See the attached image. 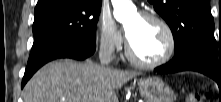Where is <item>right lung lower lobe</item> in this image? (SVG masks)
<instances>
[{
  "label": "right lung lower lobe",
  "instance_id": "98d812e1",
  "mask_svg": "<svg viewBox=\"0 0 221 102\" xmlns=\"http://www.w3.org/2000/svg\"><path fill=\"white\" fill-rule=\"evenodd\" d=\"M96 50V44L79 40H67L55 43L44 49L33 58H29L22 80V88L31 76L45 63L57 58H72L83 60L91 56Z\"/></svg>",
  "mask_w": 221,
  "mask_h": 102
}]
</instances>
